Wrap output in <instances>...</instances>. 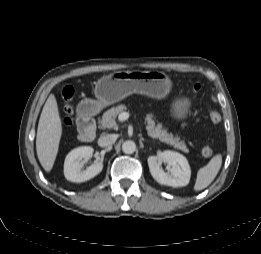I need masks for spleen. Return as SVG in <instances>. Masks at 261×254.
Returning <instances> with one entry per match:
<instances>
[{
  "label": "spleen",
  "instance_id": "3e777b00",
  "mask_svg": "<svg viewBox=\"0 0 261 254\" xmlns=\"http://www.w3.org/2000/svg\"><path fill=\"white\" fill-rule=\"evenodd\" d=\"M222 165V155H215L209 163L200 168L197 172V178L194 185L195 191H201L208 187L217 176Z\"/></svg>",
  "mask_w": 261,
  "mask_h": 254
}]
</instances>
